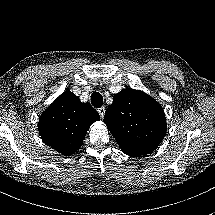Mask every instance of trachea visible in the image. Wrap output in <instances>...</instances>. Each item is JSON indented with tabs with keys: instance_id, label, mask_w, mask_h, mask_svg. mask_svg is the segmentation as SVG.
I'll use <instances>...</instances> for the list:
<instances>
[{
	"instance_id": "obj_1",
	"label": "trachea",
	"mask_w": 215,
	"mask_h": 215,
	"mask_svg": "<svg viewBox=\"0 0 215 215\" xmlns=\"http://www.w3.org/2000/svg\"><path fill=\"white\" fill-rule=\"evenodd\" d=\"M91 103L95 108H100L103 105V98L99 92H94L91 95Z\"/></svg>"
}]
</instances>
